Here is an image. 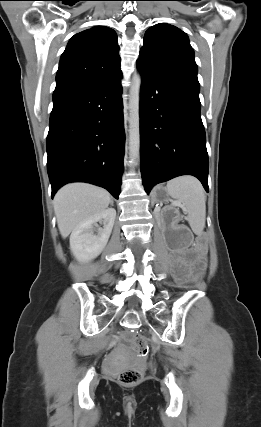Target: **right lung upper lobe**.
I'll return each mask as SVG.
<instances>
[{
	"mask_svg": "<svg viewBox=\"0 0 261 427\" xmlns=\"http://www.w3.org/2000/svg\"><path fill=\"white\" fill-rule=\"evenodd\" d=\"M117 35L96 26L75 34L63 52L53 100L106 82L121 74Z\"/></svg>",
	"mask_w": 261,
	"mask_h": 427,
	"instance_id": "cb5924a9",
	"label": "right lung upper lobe"
}]
</instances>
